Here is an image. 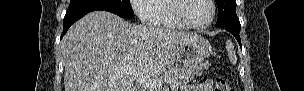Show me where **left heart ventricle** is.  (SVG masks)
<instances>
[{
	"label": "left heart ventricle",
	"mask_w": 304,
	"mask_h": 91,
	"mask_svg": "<svg viewBox=\"0 0 304 91\" xmlns=\"http://www.w3.org/2000/svg\"><path fill=\"white\" fill-rule=\"evenodd\" d=\"M183 12L186 19L193 24H204L212 16V9L207 0H186Z\"/></svg>",
	"instance_id": "b2bd125f"
}]
</instances>
